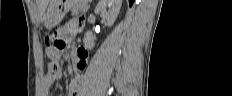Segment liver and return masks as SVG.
<instances>
[{"label": "liver", "instance_id": "6515ba94", "mask_svg": "<svg viewBox=\"0 0 232 96\" xmlns=\"http://www.w3.org/2000/svg\"><path fill=\"white\" fill-rule=\"evenodd\" d=\"M48 3H49V0H38L39 11H40L41 15L45 12V10L48 6Z\"/></svg>", "mask_w": 232, "mask_h": 96}]
</instances>
